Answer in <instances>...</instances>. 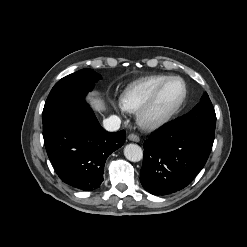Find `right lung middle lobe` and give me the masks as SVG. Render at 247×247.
<instances>
[{
  "mask_svg": "<svg viewBox=\"0 0 247 247\" xmlns=\"http://www.w3.org/2000/svg\"><path fill=\"white\" fill-rule=\"evenodd\" d=\"M100 79L101 76L92 69H82L59 80L45 102L42 121L77 107L88 106L84 97Z\"/></svg>",
  "mask_w": 247,
  "mask_h": 247,
  "instance_id": "1",
  "label": "right lung middle lobe"
}]
</instances>
